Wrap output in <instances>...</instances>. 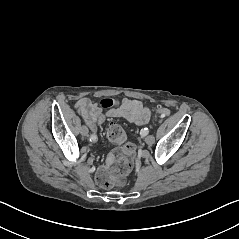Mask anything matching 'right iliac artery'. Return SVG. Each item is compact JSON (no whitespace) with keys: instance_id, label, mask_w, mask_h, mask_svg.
<instances>
[{"instance_id":"1","label":"right iliac artery","mask_w":239,"mask_h":239,"mask_svg":"<svg viewBox=\"0 0 239 239\" xmlns=\"http://www.w3.org/2000/svg\"><path fill=\"white\" fill-rule=\"evenodd\" d=\"M90 141H93V142L97 141V136L95 134H91Z\"/></svg>"}]
</instances>
